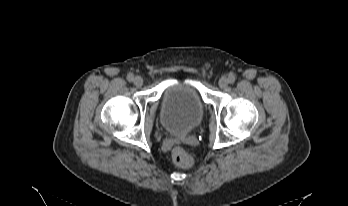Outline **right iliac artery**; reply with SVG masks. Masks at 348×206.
<instances>
[{
	"label": "right iliac artery",
	"mask_w": 348,
	"mask_h": 206,
	"mask_svg": "<svg viewBox=\"0 0 348 206\" xmlns=\"http://www.w3.org/2000/svg\"><path fill=\"white\" fill-rule=\"evenodd\" d=\"M127 80H128L129 82H132V81L134 80V76H133L132 74H129V75L127 76Z\"/></svg>",
	"instance_id": "82829eb1"
}]
</instances>
